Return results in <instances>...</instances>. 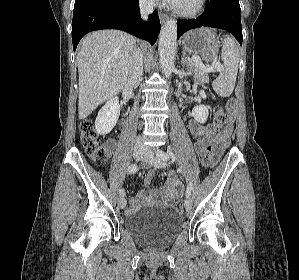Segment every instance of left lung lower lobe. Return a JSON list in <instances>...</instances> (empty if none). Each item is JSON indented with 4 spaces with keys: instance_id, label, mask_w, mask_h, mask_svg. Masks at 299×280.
<instances>
[{
    "instance_id": "1",
    "label": "left lung lower lobe",
    "mask_w": 299,
    "mask_h": 280,
    "mask_svg": "<svg viewBox=\"0 0 299 280\" xmlns=\"http://www.w3.org/2000/svg\"><path fill=\"white\" fill-rule=\"evenodd\" d=\"M207 26L229 31L242 44L239 0H206L201 16L177 22V38L190 29Z\"/></svg>"
}]
</instances>
